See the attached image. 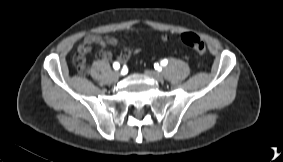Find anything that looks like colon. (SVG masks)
I'll list each match as a JSON object with an SVG mask.
<instances>
[{"label": "colon", "instance_id": "colon-1", "mask_svg": "<svg viewBox=\"0 0 283 162\" xmlns=\"http://www.w3.org/2000/svg\"><path fill=\"white\" fill-rule=\"evenodd\" d=\"M167 37H164L163 40H167ZM182 42L193 49L198 54H205L206 46L204 41L195 33L193 32H186L181 35ZM74 63L77 69L80 72H84L86 70V63L85 59L79 55H76L74 58Z\"/></svg>", "mask_w": 283, "mask_h": 162}]
</instances>
